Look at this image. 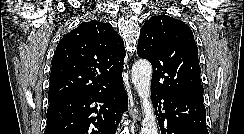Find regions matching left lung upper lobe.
<instances>
[{"label":"left lung upper lobe","instance_id":"obj_1","mask_svg":"<svg viewBox=\"0 0 244 134\" xmlns=\"http://www.w3.org/2000/svg\"><path fill=\"white\" fill-rule=\"evenodd\" d=\"M137 54L152 64V88L203 101L198 48L183 21L151 17L141 28Z\"/></svg>","mask_w":244,"mask_h":134}]
</instances>
